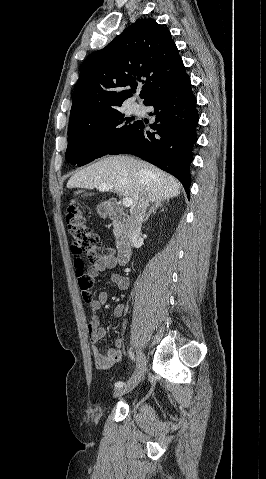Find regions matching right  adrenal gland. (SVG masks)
Here are the masks:
<instances>
[{"instance_id": "right-adrenal-gland-1", "label": "right adrenal gland", "mask_w": 266, "mask_h": 479, "mask_svg": "<svg viewBox=\"0 0 266 479\" xmlns=\"http://www.w3.org/2000/svg\"><path fill=\"white\" fill-rule=\"evenodd\" d=\"M162 202L161 201H156L154 202V204H152L149 212L147 213L146 217L143 219V222H146L148 221L149 217L151 214H155L156 213V210L159 208V207H162Z\"/></svg>"}]
</instances>
